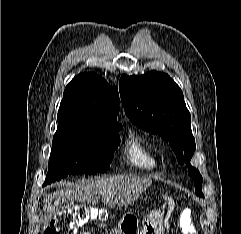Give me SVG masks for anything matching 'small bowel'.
<instances>
[{
  "instance_id": "obj_1",
  "label": "small bowel",
  "mask_w": 241,
  "mask_h": 234,
  "mask_svg": "<svg viewBox=\"0 0 241 234\" xmlns=\"http://www.w3.org/2000/svg\"><path fill=\"white\" fill-rule=\"evenodd\" d=\"M82 234H91L90 232H83Z\"/></svg>"
}]
</instances>
